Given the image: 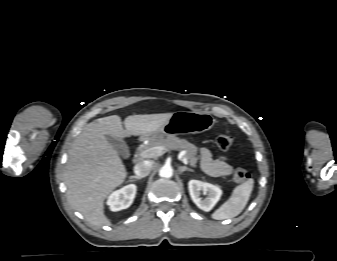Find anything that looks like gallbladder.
Here are the masks:
<instances>
[{"instance_id": "bac80fb5", "label": "gallbladder", "mask_w": 337, "mask_h": 261, "mask_svg": "<svg viewBox=\"0 0 337 261\" xmlns=\"http://www.w3.org/2000/svg\"><path fill=\"white\" fill-rule=\"evenodd\" d=\"M106 139L122 157L126 158L129 156V148L123 140L111 136H106Z\"/></svg>"}]
</instances>
